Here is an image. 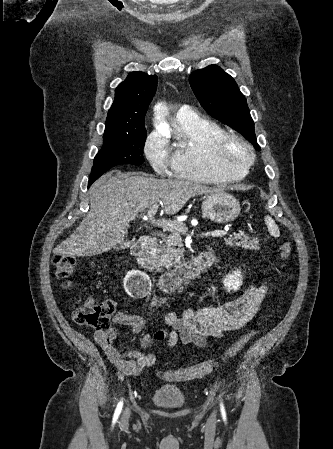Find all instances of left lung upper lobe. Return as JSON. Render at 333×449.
Listing matches in <instances>:
<instances>
[{
  "label": "left lung upper lobe",
  "mask_w": 333,
  "mask_h": 449,
  "mask_svg": "<svg viewBox=\"0 0 333 449\" xmlns=\"http://www.w3.org/2000/svg\"><path fill=\"white\" fill-rule=\"evenodd\" d=\"M189 81L208 114L240 132L257 150L260 149L246 99L230 75L220 67L210 65L192 72Z\"/></svg>",
  "instance_id": "1"
}]
</instances>
